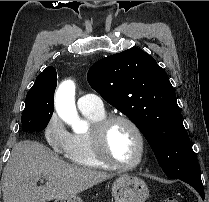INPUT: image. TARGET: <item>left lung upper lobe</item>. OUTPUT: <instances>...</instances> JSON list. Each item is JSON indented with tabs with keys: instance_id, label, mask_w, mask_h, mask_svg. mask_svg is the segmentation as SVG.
I'll return each instance as SVG.
<instances>
[{
	"instance_id": "1",
	"label": "left lung upper lobe",
	"mask_w": 209,
	"mask_h": 202,
	"mask_svg": "<svg viewBox=\"0 0 209 202\" xmlns=\"http://www.w3.org/2000/svg\"><path fill=\"white\" fill-rule=\"evenodd\" d=\"M87 78L104 100L139 128L169 178L199 171L174 88L151 55L131 48L105 57L90 67Z\"/></svg>"
}]
</instances>
